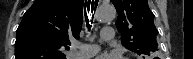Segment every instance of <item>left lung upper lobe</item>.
I'll return each instance as SVG.
<instances>
[{"mask_svg":"<svg viewBox=\"0 0 193 59\" xmlns=\"http://www.w3.org/2000/svg\"><path fill=\"white\" fill-rule=\"evenodd\" d=\"M118 18L116 27L123 35L122 44L139 55H152L158 48L154 26V14L149 9L147 0H111Z\"/></svg>","mask_w":193,"mask_h":59,"instance_id":"left-lung-upper-lobe-1","label":"left lung upper lobe"}]
</instances>
